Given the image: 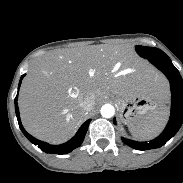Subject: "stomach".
Instances as JSON below:
<instances>
[{
    "mask_svg": "<svg viewBox=\"0 0 183 183\" xmlns=\"http://www.w3.org/2000/svg\"><path fill=\"white\" fill-rule=\"evenodd\" d=\"M121 121L125 124H135L139 119L153 112L160 104L149 94L135 96L113 95Z\"/></svg>",
    "mask_w": 183,
    "mask_h": 183,
    "instance_id": "0dacf381",
    "label": "stomach"
}]
</instances>
